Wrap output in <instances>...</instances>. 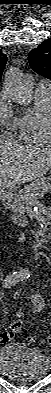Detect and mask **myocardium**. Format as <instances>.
I'll list each match as a JSON object with an SVG mask.
<instances>
[{
	"instance_id": "1",
	"label": "myocardium",
	"mask_w": 51,
	"mask_h": 393,
	"mask_svg": "<svg viewBox=\"0 0 51 393\" xmlns=\"http://www.w3.org/2000/svg\"><path fill=\"white\" fill-rule=\"evenodd\" d=\"M50 121H51V112H50Z\"/></svg>"
}]
</instances>
